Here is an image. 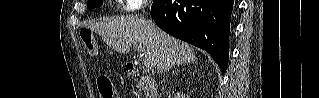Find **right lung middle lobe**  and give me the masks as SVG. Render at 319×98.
<instances>
[{
	"label": "right lung middle lobe",
	"mask_w": 319,
	"mask_h": 98,
	"mask_svg": "<svg viewBox=\"0 0 319 98\" xmlns=\"http://www.w3.org/2000/svg\"><path fill=\"white\" fill-rule=\"evenodd\" d=\"M103 4V0H89L88 1V7L89 8H96V7H100Z\"/></svg>",
	"instance_id": "1"
}]
</instances>
